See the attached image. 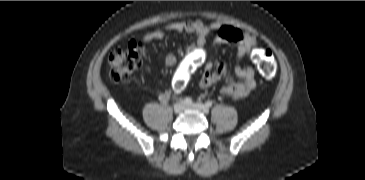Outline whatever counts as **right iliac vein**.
<instances>
[{
  "mask_svg": "<svg viewBox=\"0 0 365 180\" xmlns=\"http://www.w3.org/2000/svg\"><path fill=\"white\" fill-rule=\"evenodd\" d=\"M185 108V104L183 102H178L176 104H174L173 106V110L175 113H180L184 110Z\"/></svg>",
  "mask_w": 365,
  "mask_h": 180,
  "instance_id": "1",
  "label": "right iliac vein"
}]
</instances>
